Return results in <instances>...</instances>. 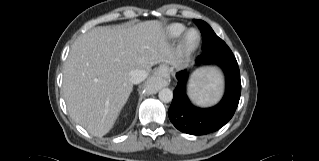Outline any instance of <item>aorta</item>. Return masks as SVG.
<instances>
[{"instance_id": "obj_1", "label": "aorta", "mask_w": 319, "mask_h": 161, "mask_svg": "<svg viewBox=\"0 0 319 161\" xmlns=\"http://www.w3.org/2000/svg\"><path fill=\"white\" fill-rule=\"evenodd\" d=\"M159 99L164 103H169L172 101L173 93L169 88H163L159 91Z\"/></svg>"}]
</instances>
